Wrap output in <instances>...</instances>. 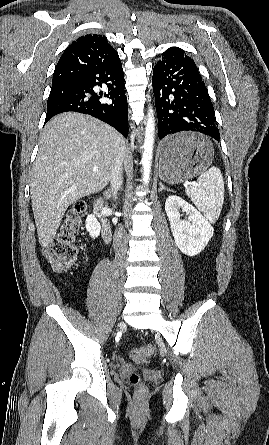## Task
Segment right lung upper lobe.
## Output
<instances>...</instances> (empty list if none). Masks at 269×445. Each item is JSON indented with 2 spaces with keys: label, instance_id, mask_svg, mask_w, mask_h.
Masks as SVG:
<instances>
[{
  "label": "right lung upper lobe",
  "instance_id": "obj_1",
  "mask_svg": "<svg viewBox=\"0 0 269 445\" xmlns=\"http://www.w3.org/2000/svg\"><path fill=\"white\" fill-rule=\"evenodd\" d=\"M118 57L105 36H81L66 48L58 61L53 73L52 87L69 86L84 73Z\"/></svg>",
  "mask_w": 269,
  "mask_h": 445
}]
</instances>
